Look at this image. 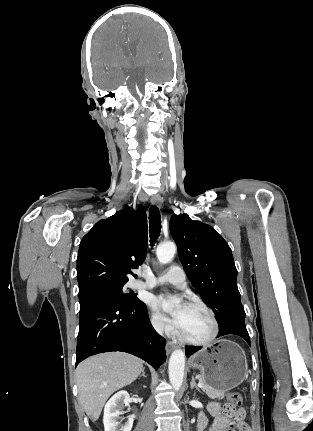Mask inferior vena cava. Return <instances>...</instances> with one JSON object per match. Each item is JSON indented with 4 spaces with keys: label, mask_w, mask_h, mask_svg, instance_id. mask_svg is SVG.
<instances>
[{
    "label": "inferior vena cava",
    "mask_w": 313,
    "mask_h": 431,
    "mask_svg": "<svg viewBox=\"0 0 313 431\" xmlns=\"http://www.w3.org/2000/svg\"><path fill=\"white\" fill-rule=\"evenodd\" d=\"M154 327H155V329H156V331L158 333H160V334L162 333V331H163V324L161 322L154 323Z\"/></svg>",
    "instance_id": "obj_1"
}]
</instances>
